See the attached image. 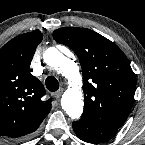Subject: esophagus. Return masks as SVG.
Returning <instances> with one entry per match:
<instances>
[{
  "instance_id": "esophagus-1",
  "label": "esophagus",
  "mask_w": 145,
  "mask_h": 145,
  "mask_svg": "<svg viewBox=\"0 0 145 145\" xmlns=\"http://www.w3.org/2000/svg\"><path fill=\"white\" fill-rule=\"evenodd\" d=\"M63 93V88H60L58 91L53 93L54 98L59 99Z\"/></svg>"
}]
</instances>
